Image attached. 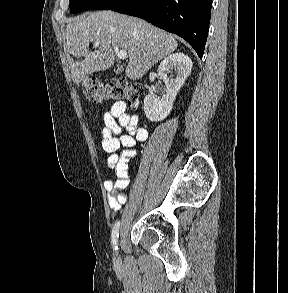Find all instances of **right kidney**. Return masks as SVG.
Instances as JSON below:
<instances>
[{"mask_svg":"<svg viewBox=\"0 0 288 293\" xmlns=\"http://www.w3.org/2000/svg\"><path fill=\"white\" fill-rule=\"evenodd\" d=\"M191 70L192 61L184 53L171 54L160 63L157 72L160 79L164 81L167 92L161 99L155 95L145 97L144 113L150 121H161L170 114L176 95ZM169 73H174V75L168 76Z\"/></svg>","mask_w":288,"mask_h":293,"instance_id":"obj_1","label":"right kidney"}]
</instances>
